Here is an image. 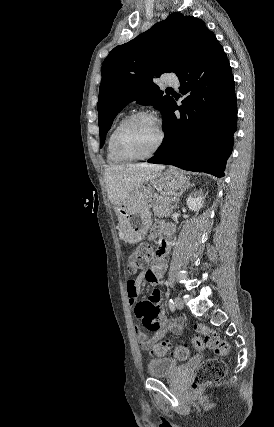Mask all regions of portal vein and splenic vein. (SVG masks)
I'll list each match as a JSON object with an SVG mask.
<instances>
[{"instance_id":"portal-vein-and-splenic-vein-1","label":"portal vein and splenic vein","mask_w":274,"mask_h":427,"mask_svg":"<svg viewBox=\"0 0 274 427\" xmlns=\"http://www.w3.org/2000/svg\"><path fill=\"white\" fill-rule=\"evenodd\" d=\"M176 198H172V202H175Z\"/></svg>"}]
</instances>
